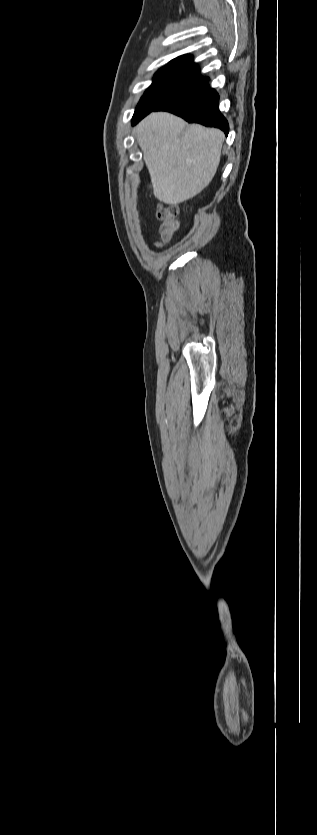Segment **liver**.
<instances>
[{
    "instance_id": "obj_1",
    "label": "liver",
    "mask_w": 317,
    "mask_h": 835,
    "mask_svg": "<svg viewBox=\"0 0 317 835\" xmlns=\"http://www.w3.org/2000/svg\"><path fill=\"white\" fill-rule=\"evenodd\" d=\"M154 194L177 205L199 194L211 182L220 163L224 133L183 119L154 112L136 128Z\"/></svg>"
}]
</instances>
